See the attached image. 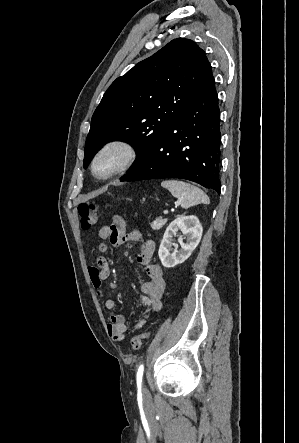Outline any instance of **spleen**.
I'll list each match as a JSON object with an SVG mask.
<instances>
[{
  "label": "spleen",
  "mask_w": 299,
  "mask_h": 443,
  "mask_svg": "<svg viewBox=\"0 0 299 443\" xmlns=\"http://www.w3.org/2000/svg\"><path fill=\"white\" fill-rule=\"evenodd\" d=\"M161 186L168 189L178 199L183 208L198 204H209V197L200 188L178 180H165Z\"/></svg>",
  "instance_id": "3e777b00"
}]
</instances>
